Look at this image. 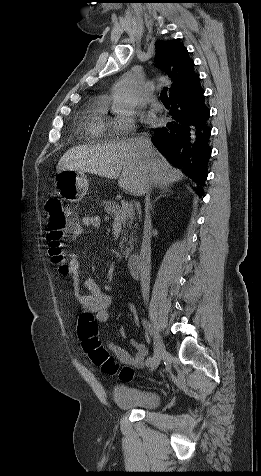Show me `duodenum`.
I'll use <instances>...</instances> for the list:
<instances>
[{"instance_id": "1", "label": "duodenum", "mask_w": 261, "mask_h": 476, "mask_svg": "<svg viewBox=\"0 0 261 476\" xmlns=\"http://www.w3.org/2000/svg\"><path fill=\"white\" fill-rule=\"evenodd\" d=\"M127 267L133 278H138L141 271V260L138 254H131L127 258Z\"/></svg>"}]
</instances>
